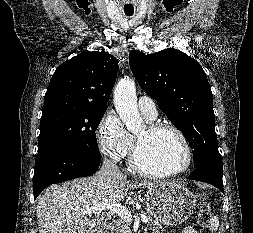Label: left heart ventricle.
I'll return each instance as SVG.
<instances>
[{"mask_svg": "<svg viewBox=\"0 0 253 233\" xmlns=\"http://www.w3.org/2000/svg\"><path fill=\"white\" fill-rule=\"evenodd\" d=\"M141 141L140 158L149 170H176L185 162V149L170 131L150 134L145 128L137 135Z\"/></svg>", "mask_w": 253, "mask_h": 233, "instance_id": "left-heart-ventricle-1", "label": "left heart ventricle"}]
</instances>
